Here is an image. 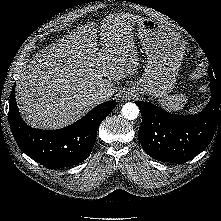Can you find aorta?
Listing matches in <instances>:
<instances>
[{"mask_svg": "<svg viewBox=\"0 0 221 221\" xmlns=\"http://www.w3.org/2000/svg\"><path fill=\"white\" fill-rule=\"evenodd\" d=\"M122 115L128 120H134L139 116V108L134 103H126L122 107Z\"/></svg>", "mask_w": 221, "mask_h": 221, "instance_id": "762f6f07", "label": "aorta"}]
</instances>
